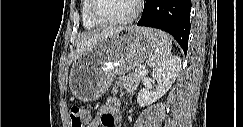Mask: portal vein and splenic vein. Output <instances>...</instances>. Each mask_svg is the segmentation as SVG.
Segmentation results:
<instances>
[{"label":"portal vein and splenic vein","mask_w":243,"mask_h":127,"mask_svg":"<svg viewBox=\"0 0 243 127\" xmlns=\"http://www.w3.org/2000/svg\"><path fill=\"white\" fill-rule=\"evenodd\" d=\"M141 72H142L143 74H146L147 70H142Z\"/></svg>","instance_id":"18ae733b"}]
</instances>
